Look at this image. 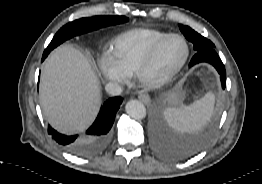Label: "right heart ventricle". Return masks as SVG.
<instances>
[{"label": "right heart ventricle", "instance_id": "1", "mask_svg": "<svg viewBox=\"0 0 262 184\" xmlns=\"http://www.w3.org/2000/svg\"><path fill=\"white\" fill-rule=\"evenodd\" d=\"M166 35V32L146 28L129 30L113 41L111 54L117 64L132 75L151 48Z\"/></svg>", "mask_w": 262, "mask_h": 184}]
</instances>
